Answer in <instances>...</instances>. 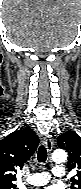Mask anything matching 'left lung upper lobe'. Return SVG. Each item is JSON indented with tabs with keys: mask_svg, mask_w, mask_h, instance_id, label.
<instances>
[{
	"mask_svg": "<svg viewBox=\"0 0 81 189\" xmlns=\"http://www.w3.org/2000/svg\"><path fill=\"white\" fill-rule=\"evenodd\" d=\"M57 144L69 154L68 170H77L71 178V189H81V137L74 131H68L58 137Z\"/></svg>",
	"mask_w": 81,
	"mask_h": 189,
	"instance_id": "1",
	"label": "left lung upper lobe"
}]
</instances>
